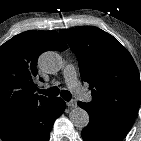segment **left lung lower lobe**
<instances>
[{"label": "left lung lower lobe", "mask_w": 141, "mask_h": 141, "mask_svg": "<svg viewBox=\"0 0 141 141\" xmlns=\"http://www.w3.org/2000/svg\"><path fill=\"white\" fill-rule=\"evenodd\" d=\"M90 116L82 130L84 141H121L132 127L135 114H113L89 103L78 102Z\"/></svg>", "instance_id": "0a47b994"}]
</instances>
